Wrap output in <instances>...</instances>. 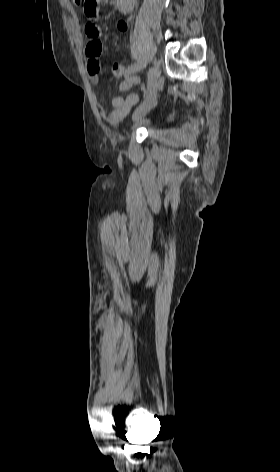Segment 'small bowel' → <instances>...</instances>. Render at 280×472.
Listing matches in <instances>:
<instances>
[{
	"mask_svg": "<svg viewBox=\"0 0 280 472\" xmlns=\"http://www.w3.org/2000/svg\"><path fill=\"white\" fill-rule=\"evenodd\" d=\"M135 5L134 0H117L116 9L121 14L130 13ZM128 25L125 21H119L118 29L126 31ZM84 33L88 38L86 45V56H87V71L90 76L91 82L97 84L100 74V56L102 52V44L100 41L101 30L99 25L94 20H88L84 26ZM140 83L139 79L134 77L132 81L126 79L120 84L119 91L124 92L129 90L134 84ZM138 96L130 94L127 96H118L113 99V111L108 114L110 123L116 124L120 122L130 111V109L138 102Z\"/></svg>",
	"mask_w": 280,
	"mask_h": 472,
	"instance_id": "obj_1",
	"label": "small bowel"
}]
</instances>
